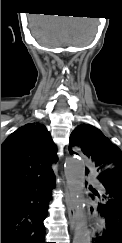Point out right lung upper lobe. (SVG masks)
Instances as JSON below:
<instances>
[{
  "label": "right lung upper lobe",
  "instance_id": "cb5924a9",
  "mask_svg": "<svg viewBox=\"0 0 122 243\" xmlns=\"http://www.w3.org/2000/svg\"><path fill=\"white\" fill-rule=\"evenodd\" d=\"M56 146L44 125L26 124L1 145V194L53 173Z\"/></svg>",
  "mask_w": 122,
  "mask_h": 243
}]
</instances>
